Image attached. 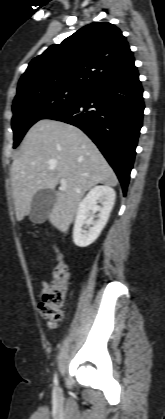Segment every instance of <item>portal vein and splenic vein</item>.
Instances as JSON below:
<instances>
[{"mask_svg": "<svg viewBox=\"0 0 165 419\" xmlns=\"http://www.w3.org/2000/svg\"><path fill=\"white\" fill-rule=\"evenodd\" d=\"M66 183H67V181H66L65 179H61V180H60V184H61V186H65V185H66Z\"/></svg>", "mask_w": 165, "mask_h": 419, "instance_id": "obj_1", "label": "portal vein and splenic vein"}]
</instances>
